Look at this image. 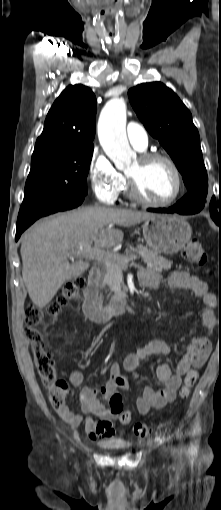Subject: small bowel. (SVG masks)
Instances as JSON below:
<instances>
[{"label": "small bowel", "instance_id": "obj_1", "mask_svg": "<svg viewBox=\"0 0 221 510\" xmlns=\"http://www.w3.org/2000/svg\"><path fill=\"white\" fill-rule=\"evenodd\" d=\"M139 277L144 286L155 289L189 290L198 298H201L205 305L202 312V324L206 334L192 340L186 353L176 365L174 372L167 364L159 365L155 370V375L162 387L155 390L151 386H146L142 395L137 398L136 408L138 413L147 415L151 409H161L172 402L176 397L183 376L192 369L201 368L208 360L211 353L209 335L213 333L216 327L214 308L217 302L207 283L186 271L176 270L167 277H162L156 270L144 268L140 271ZM170 353V346L161 340H154L139 347L127 354L122 363H114L110 367V379L105 385L101 387L85 386L80 390L78 398L81 411L88 415L85 420L82 414L74 413L68 407L65 410H57L58 414L73 427H78L84 422L85 431L92 440L111 437L115 433L112 422L119 420V415L110 403L107 405L105 402L109 401L110 397L118 392V389L127 390L129 387L128 381L124 377L126 380L125 386L117 388L113 382L114 377L122 375L123 371L136 376V369L143 359L152 355H169ZM82 381L83 376L79 371L69 369V382L73 387L79 386ZM93 416L99 418L100 421L94 420Z\"/></svg>", "mask_w": 221, "mask_h": 510}]
</instances>
